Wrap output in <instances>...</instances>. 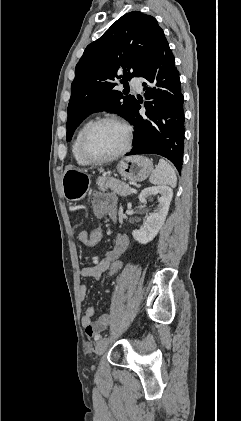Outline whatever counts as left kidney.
Instances as JSON below:
<instances>
[{"label": "left kidney", "mask_w": 241, "mask_h": 421, "mask_svg": "<svg viewBox=\"0 0 241 421\" xmlns=\"http://www.w3.org/2000/svg\"><path fill=\"white\" fill-rule=\"evenodd\" d=\"M159 195L158 208L154 213L149 214L139 230H133V238L141 244L152 241L161 229L168 214L173 191L168 186H153L145 188L139 194V201L145 203L149 196Z\"/></svg>", "instance_id": "left-kidney-1"}]
</instances>
